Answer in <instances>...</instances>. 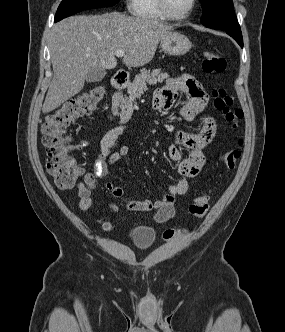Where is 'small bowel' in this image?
<instances>
[{
	"instance_id": "c3829d8e",
	"label": "small bowel",
	"mask_w": 285,
	"mask_h": 332,
	"mask_svg": "<svg viewBox=\"0 0 285 332\" xmlns=\"http://www.w3.org/2000/svg\"><path fill=\"white\" fill-rule=\"evenodd\" d=\"M178 93H184L187 97L186 104L181 108L179 115L185 121H191L198 116L208 104V94L201 83L189 74L168 80L167 84L155 93L153 107L156 110L169 109L175 102ZM201 128L198 132L176 133V143L168 147L170 159L178 162L180 178L169 186L168 194L158 200H134L128 198L123 189L115 186L111 181H106L105 187L111 194L121 199L127 209L137 212L154 211V219L157 223L171 220L175 215V200L178 196L185 195L190 187V178L196 176L205 163L204 148L211 143L217 131V124L212 117L201 118ZM127 124H120L109 129L100 141V150L92 172L85 174L83 180L78 183L79 207L83 211L94 207L92 198L98 179H104L108 175V167L123 159L129 153V147L121 146L113 151L118 138L127 130ZM181 149L188 151V156L182 158ZM112 210L117 206L112 205Z\"/></svg>"
}]
</instances>
